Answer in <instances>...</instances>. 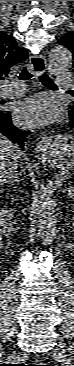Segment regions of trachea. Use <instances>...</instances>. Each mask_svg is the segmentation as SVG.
<instances>
[{
    "instance_id": "obj_1",
    "label": "trachea",
    "mask_w": 74,
    "mask_h": 366,
    "mask_svg": "<svg viewBox=\"0 0 74 366\" xmlns=\"http://www.w3.org/2000/svg\"><path fill=\"white\" fill-rule=\"evenodd\" d=\"M32 76H33L32 73L29 72V70L25 67V68H23V70L21 71V73L19 75V80L26 81V80H29ZM38 78L40 79L42 84H44L45 86L57 88L56 84L45 73L40 75Z\"/></svg>"
}]
</instances>
